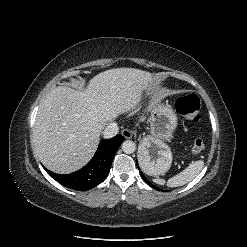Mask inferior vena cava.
I'll use <instances>...</instances> for the list:
<instances>
[{
	"instance_id": "obj_1",
	"label": "inferior vena cava",
	"mask_w": 247,
	"mask_h": 247,
	"mask_svg": "<svg viewBox=\"0 0 247 247\" xmlns=\"http://www.w3.org/2000/svg\"><path fill=\"white\" fill-rule=\"evenodd\" d=\"M118 131V125L114 122H111L103 130V137L106 139L112 138L118 134Z\"/></svg>"
}]
</instances>
